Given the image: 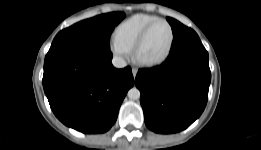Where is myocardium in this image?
Masks as SVG:
<instances>
[{
  "label": "myocardium",
  "instance_id": "myocardium-1",
  "mask_svg": "<svg viewBox=\"0 0 261 150\" xmlns=\"http://www.w3.org/2000/svg\"><path fill=\"white\" fill-rule=\"evenodd\" d=\"M158 23H165L168 27H169V31H170V39H169V44L167 47V50L165 51V53L160 56L159 58L156 59H143L140 56V50L141 47L143 46L149 32L151 31V29L157 25ZM174 29L173 26L171 25V23L169 21H167L166 19L163 18H158L157 20L151 22L149 25H147L145 27V29L141 32V34L139 35L138 39L136 40L133 49H132V53H133V59L135 60V62L141 66L144 67H153V66H157L162 64L164 61L167 60V58L169 57L172 48H173V44H174Z\"/></svg>",
  "mask_w": 261,
  "mask_h": 150
}]
</instances>
